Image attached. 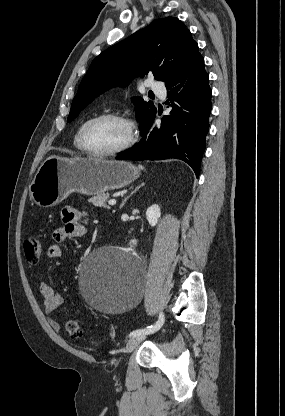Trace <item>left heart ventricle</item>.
Returning a JSON list of instances; mask_svg holds the SVG:
<instances>
[{
	"instance_id": "1",
	"label": "left heart ventricle",
	"mask_w": 285,
	"mask_h": 416,
	"mask_svg": "<svg viewBox=\"0 0 285 416\" xmlns=\"http://www.w3.org/2000/svg\"><path fill=\"white\" fill-rule=\"evenodd\" d=\"M125 127L113 119H100L87 129L89 146L98 151H108L120 147L126 140Z\"/></svg>"
}]
</instances>
